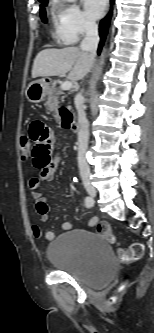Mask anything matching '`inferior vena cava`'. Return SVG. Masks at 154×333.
I'll return each instance as SVG.
<instances>
[{
	"label": "inferior vena cava",
	"mask_w": 154,
	"mask_h": 333,
	"mask_svg": "<svg viewBox=\"0 0 154 333\" xmlns=\"http://www.w3.org/2000/svg\"><path fill=\"white\" fill-rule=\"evenodd\" d=\"M85 37L80 44V48L89 52L91 61L96 56V51L99 43L98 26L93 22L84 24ZM75 106L78 112V166L81 174H89L90 168L86 160V152L89 140V122L84 111V99L82 91L75 97Z\"/></svg>",
	"instance_id": "obj_1"
}]
</instances>
